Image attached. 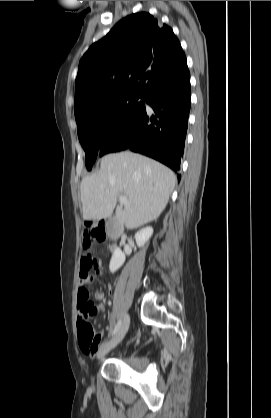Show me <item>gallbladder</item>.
I'll return each mask as SVG.
<instances>
[{"mask_svg":"<svg viewBox=\"0 0 271 418\" xmlns=\"http://www.w3.org/2000/svg\"><path fill=\"white\" fill-rule=\"evenodd\" d=\"M108 231L110 234L112 233H119L120 232V225L118 223V221L116 220L114 215H111L108 218Z\"/></svg>","mask_w":271,"mask_h":418,"instance_id":"bac80fb5","label":"gallbladder"}]
</instances>
